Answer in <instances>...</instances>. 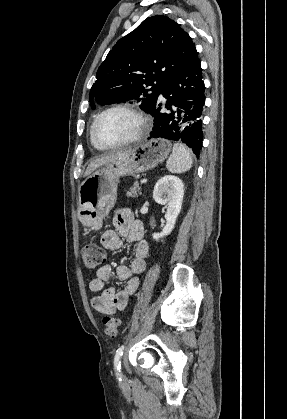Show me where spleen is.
Segmentation results:
<instances>
[{
    "label": "spleen",
    "instance_id": "obj_1",
    "mask_svg": "<svg viewBox=\"0 0 287 419\" xmlns=\"http://www.w3.org/2000/svg\"><path fill=\"white\" fill-rule=\"evenodd\" d=\"M193 164L192 155L186 146L175 143L172 154L166 162V167L171 173H184L191 169Z\"/></svg>",
    "mask_w": 287,
    "mask_h": 419
}]
</instances>
